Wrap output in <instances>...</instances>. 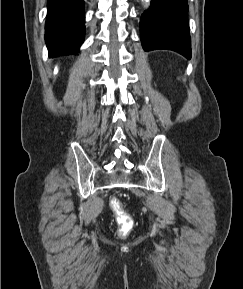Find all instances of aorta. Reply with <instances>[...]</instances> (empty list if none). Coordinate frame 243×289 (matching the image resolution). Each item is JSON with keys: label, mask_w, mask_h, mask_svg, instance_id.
Listing matches in <instances>:
<instances>
[{"label": "aorta", "mask_w": 243, "mask_h": 289, "mask_svg": "<svg viewBox=\"0 0 243 289\" xmlns=\"http://www.w3.org/2000/svg\"><path fill=\"white\" fill-rule=\"evenodd\" d=\"M150 0H142L145 4H148Z\"/></svg>", "instance_id": "obj_1"}]
</instances>
